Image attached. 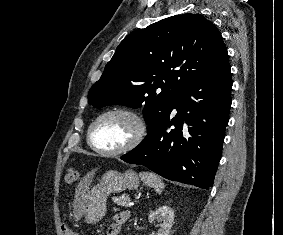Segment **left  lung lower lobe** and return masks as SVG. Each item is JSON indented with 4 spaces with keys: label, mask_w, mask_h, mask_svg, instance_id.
I'll return each instance as SVG.
<instances>
[{
    "label": "left lung lower lobe",
    "mask_w": 283,
    "mask_h": 235,
    "mask_svg": "<svg viewBox=\"0 0 283 235\" xmlns=\"http://www.w3.org/2000/svg\"><path fill=\"white\" fill-rule=\"evenodd\" d=\"M231 89L228 61L187 83L168 115L121 159L144 165L169 180L208 190L221 157Z\"/></svg>",
    "instance_id": "0a47b994"
}]
</instances>
